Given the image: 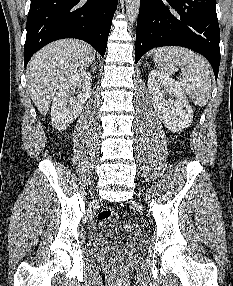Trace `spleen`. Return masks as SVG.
<instances>
[{
	"label": "spleen",
	"instance_id": "obj_1",
	"mask_svg": "<svg viewBox=\"0 0 233 286\" xmlns=\"http://www.w3.org/2000/svg\"><path fill=\"white\" fill-rule=\"evenodd\" d=\"M154 62L165 75H172L175 67H180L182 76L178 84L182 91L199 106L208 103L211 77L206 59L187 48L167 46L154 50Z\"/></svg>",
	"mask_w": 233,
	"mask_h": 286
}]
</instances>
